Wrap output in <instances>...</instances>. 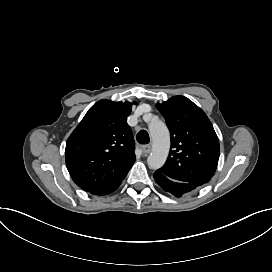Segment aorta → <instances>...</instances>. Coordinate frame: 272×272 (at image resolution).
I'll return each mask as SVG.
<instances>
[{"label":"aorta","mask_w":272,"mask_h":272,"mask_svg":"<svg viewBox=\"0 0 272 272\" xmlns=\"http://www.w3.org/2000/svg\"><path fill=\"white\" fill-rule=\"evenodd\" d=\"M149 136L152 140V152L147 158L150 169L161 168L168 157L170 148V135L166 124L154 116L149 125Z\"/></svg>","instance_id":"obj_1"}]
</instances>
